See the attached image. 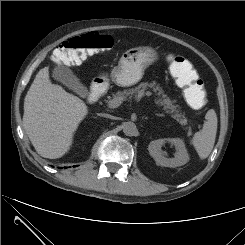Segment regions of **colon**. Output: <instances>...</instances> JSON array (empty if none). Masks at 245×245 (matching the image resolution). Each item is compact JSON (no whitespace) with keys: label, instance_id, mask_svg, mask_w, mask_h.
Returning <instances> with one entry per match:
<instances>
[{"label":"colon","instance_id":"5ec220e1","mask_svg":"<svg viewBox=\"0 0 245 245\" xmlns=\"http://www.w3.org/2000/svg\"><path fill=\"white\" fill-rule=\"evenodd\" d=\"M113 39L106 34L90 32L73 37L63 42L54 51V61L63 65H74L84 61L88 56L101 50L110 49ZM171 72L177 82L183 87L187 103L195 109L202 108L207 101V93L204 83L198 77L186 76L183 69L186 65L185 58L172 56L170 58Z\"/></svg>","mask_w":245,"mask_h":245}]
</instances>
